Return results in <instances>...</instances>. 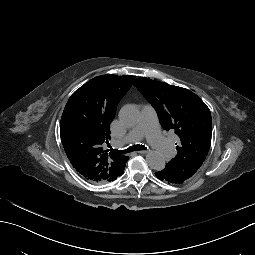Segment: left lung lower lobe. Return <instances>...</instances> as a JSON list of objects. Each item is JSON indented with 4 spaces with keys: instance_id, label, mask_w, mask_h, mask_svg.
Instances as JSON below:
<instances>
[{
    "instance_id": "1",
    "label": "left lung lower lobe",
    "mask_w": 255,
    "mask_h": 255,
    "mask_svg": "<svg viewBox=\"0 0 255 255\" xmlns=\"http://www.w3.org/2000/svg\"><path fill=\"white\" fill-rule=\"evenodd\" d=\"M155 177L160 181L164 182L167 186H170L171 184L179 186L181 184V181L179 179L173 177L169 173V169L167 167H164L162 170L157 171L155 173Z\"/></svg>"
}]
</instances>
